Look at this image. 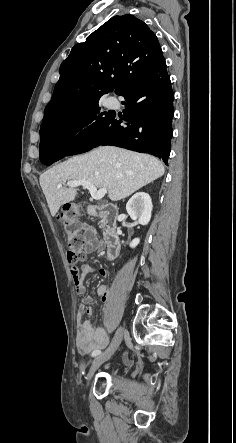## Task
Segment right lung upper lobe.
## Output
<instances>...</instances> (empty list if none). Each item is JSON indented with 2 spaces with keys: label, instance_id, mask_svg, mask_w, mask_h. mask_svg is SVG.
<instances>
[{
  "label": "right lung upper lobe",
  "instance_id": "obj_1",
  "mask_svg": "<svg viewBox=\"0 0 236 443\" xmlns=\"http://www.w3.org/2000/svg\"><path fill=\"white\" fill-rule=\"evenodd\" d=\"M163 57L156 35L133 15L114 16L76 44L60 66V78L43 120L79 108L115 90L120 95Z\"/></svg>",
  "mask_w": 236,
  "mask_h": 443
}]
</instances>
